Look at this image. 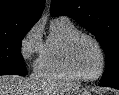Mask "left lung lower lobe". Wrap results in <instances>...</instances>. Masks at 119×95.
Returning a JSON list of instances; mask_svg holds the SVG:
<instances>
[{"instance_id":"obj_1","label":"left lung lower lobe","mask_w":119,"mask_h":95,"mask_svg":"<svg viewBox=\"0 0 119 95\" xmlns=\"http://www.w3.org/2000/svg\"><path fill=\"white\" fill-rule=\"evenodd\" d=\"M110 87V86H109ZM114 88L119 89V85L114 86Z\"/></svg>"}]
</instances>
